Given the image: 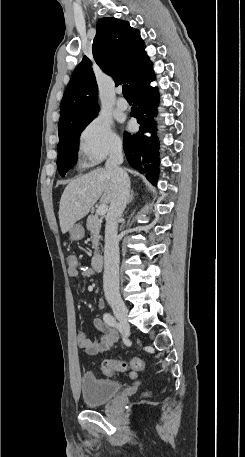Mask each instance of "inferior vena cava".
I'll return each mask as SVG.
<instances>
[{
	"label": "inferior vena cava",
	"instance_id": "602c4592",
	"mask_svg": "<svg viewBox=\"0 0 245 457\" xmlns=\"http://www.w3.org/2000/svg\"><path fill=\"white\" fill-rule=\"evenodd\" d=\"M123 162L122 144L114 146L106 160L105 172L114 186V196L106 216L103 289L106 297L119 295V241L118 218L129 200L130 180L127 172L120 168Z\"/></svg>",
	"mask_w": 245,
	"mask_h": 457
}]
</instances>
